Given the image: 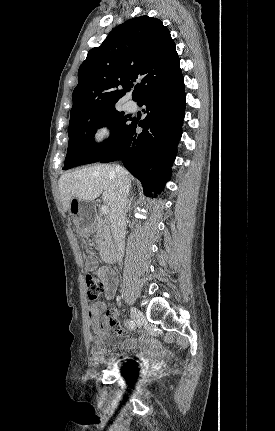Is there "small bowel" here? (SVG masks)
Listing matches in <instances>:
<instances>
[{
    "mask_svg": "<svg viewBox=\"0 0 275 431\" xmlns=\"http://www.w3.org/2000/svg\"><path fill=\"white\" fill-rule=\"evenodd\" d=\"M89 267L94 266L91 257L87 259ZM98 277L104 283V296L107 300L114 297L118 285L115 273L107 268L97 269ZM105 304L102 302L94 303L89 307V321L92 332L94 347L91 352L93 361L98 363H112L117 360L122 353L118 351L117 345L123 352H138L136 356L144 363L152 361L155 366H161L170 357V352L162 349L158 341L150 339L146 335L135 336L127 332L118 322V312L112 308L106 312ZM115 329V333L111 330Z\"/></svg>",
    "mask_w": 275,
    "mask_h": 431,
    "instance_id": "obj_1",
    "label": "small bowel"
}]
</instances>
